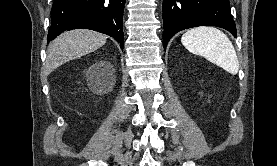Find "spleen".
<instances>
[{"mask_svg": "<svg viewBox=\"0 0 277 166\" xmlns=\"http://www.w3.org/2000/svg\"><path fill=\"white\" fill-rule=\"evenodd\" d=\"M181 43L189 52L205 57L228 73H238L239 62L234 46L219 29L208 26L190 29L182 35Z\"/></svg>", "mask_w": 277, "mask_h": 166, "instance_id": "1", "label": "spleen"}]
</instances>
